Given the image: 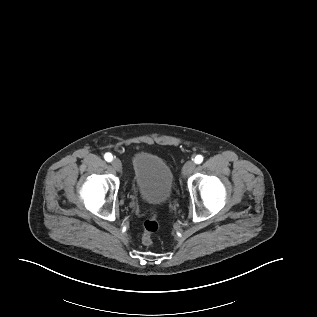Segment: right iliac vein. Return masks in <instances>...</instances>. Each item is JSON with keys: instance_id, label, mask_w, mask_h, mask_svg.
Listing matches in <instances>:
<instances>
[{"instance_id": "63e3f726", "label": "right iliac vein", "mask_w": 317, "mask_h": 317, "mask_svg": "<svg viewBox=\"0 0 317 317\" xmlns=\"http://www.w3.org/2000/svg\"><path fill=\"white\" fill-rule=\"evenodd\" d=\"M112 166H113V168H114L116 171L121 172V170H122V163H121V161H120L119 159H117V158L113 159V161H112Z\"/></svg>"}]
</instances>
